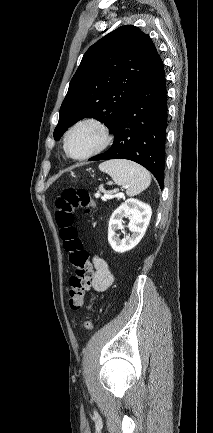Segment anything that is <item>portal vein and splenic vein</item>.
I'll return each instance as SVG.
<instances>
[{"mask_svg": "<svg viewBox=\"0 0 213 433\" xmlns=\"http://www.w3.org/2000/svg\"><path fill=\"white\" fill-rule=\"evenodd\" d=\"M114 196H112V195H110V194H105L104 195V197H103V199L104 200H107V199H111V198H113Z\"/></svg>", "mask_w": 213, "mask_h": 433, "instance_id": "18ae733b", "label": "portal vein and splenic vein"}]
</instances>
